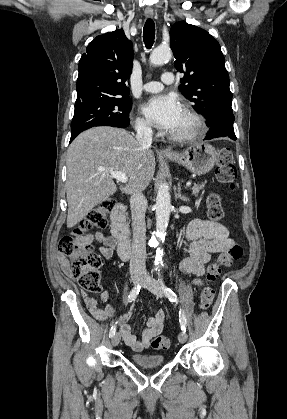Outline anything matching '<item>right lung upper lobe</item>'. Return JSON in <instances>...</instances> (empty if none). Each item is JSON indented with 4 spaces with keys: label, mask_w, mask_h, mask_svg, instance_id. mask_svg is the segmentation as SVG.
I'll list each match as a JSON object with an SVG mask.
<instances>
[{
    "label": "right lung upper lobe",
    "mask_w": 287,
    "mask_h": 419,
    "mask_svg": "<svg viewBox=\"0 0 287 419\" xmlns=\"http://www.w3.org/2000/svg\"><path fill=\"white\" fill-rule=\"evenodd\" d=\"M132 60V43L122 29L97 36L79 61L75 108L103 99L128 97Z\"/></svg>",
    "instance_id": "right-lung-upper-lobe-1"
}]
</instances>
